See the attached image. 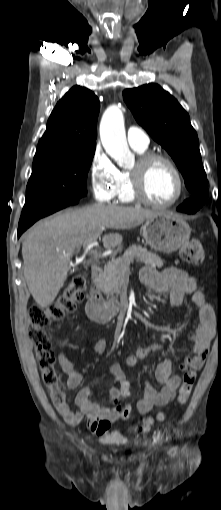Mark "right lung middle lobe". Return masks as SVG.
I'll use <instances>...</instances> for the list:
<instances>
[{"instance_id": "right-lung-middle-lobe-1", "label": "right lung middle lobe", "mask_w": 221, "mask_h": 510, "mask_svg": "<svg viewBox=\"0 0 221 510\" xmlns=\"http://www.w3.org/2000/svg\"><path fill=\"white\" fill-rule=\"evenodd\" d=\"M95 147L34 158L26 188L25 205L40 210L61 208L79 202L87 194V174Z\"/></svg>"}]
</instances>
